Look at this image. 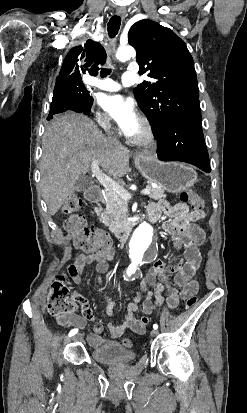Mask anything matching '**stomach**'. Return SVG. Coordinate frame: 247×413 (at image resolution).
Here are the masks:
<instances>
[{
	"label": "stomach",
	"instance_id": "obj_1",
	"mask_svg": "<svg viewBox=\"0 0 247 413\" xmlns=\"http://www.w3.org/2000/svg\"><path fill=\"white\" fill-rule=\"evenodd\" d=\"M136 168L149 182L159 184L167 192H182L197 182V172L183 162H161L154 156L139 152L133 156Z\"/></svg>",
	"mask_w": 247,
	"mask_h": 413
}]
</instances>
